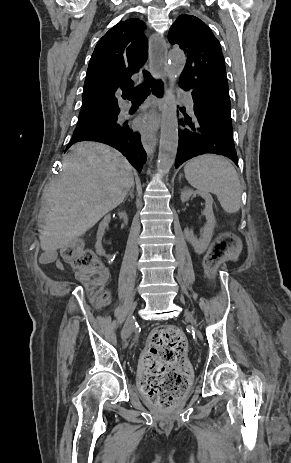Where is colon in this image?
Wrapping results in <instances>:
<instances>
[{"label":"colon","instance_id":"1","mask_svg":"<svg viewBox=\"0 0 291 463\" xmlns=\"http://www.w3.org/2000/svg\"><path fill=\"white\" fill-rule=\"evenodd\" d=\"M237 245L235 234H222L206 257V267L209 270L216 268L227 254L236 250ZM61 258L87 285L98 305L109 302L110 294L104 289L108 274L92 250L80 242H73L61 249ZM187 347V339L179 329L165 326L151 335L141 357L142 391L152 403L164 409L172 408L188 388Z\"/></svg>","mask_w":291,"mask_h":463}]
</instances>
